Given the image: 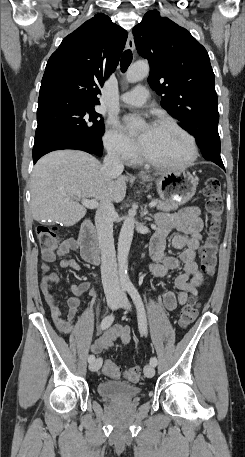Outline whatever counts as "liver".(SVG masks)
Listing matches in <instances>:
<instances>
[{"label":"liver","mask_w":245,"mask_h":457,"mask_svg":"<svg viewBox=\"0 0 245 457\" xmlns=\"http://www.w3.org/2000/svg\"><path fill=\"white\" fill-rule=\"evenodd\" d=\"M99 160L83 150H53L36 162L31 174V212L35 220L76 224L86 214L78 198L121 202L128 176L106 182ZM159 174V172H156Z\"/></svg>","instance_id":"1"}]
</instances>
